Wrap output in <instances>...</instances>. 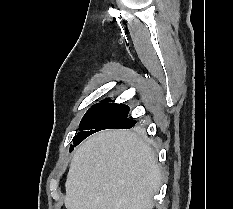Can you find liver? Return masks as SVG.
Listing matches in <instances>:
<instances>
[{"label":"liver","mask_w":233,"mask_h":209,"mask_svg":"<svg viewBox=\"0 0 233 209\" xmlns=\"http://www.w3.org/2000/svg\"><path fill=\"white\" fill-rule=\"evenodd\" d=\"M160 184L159 165L143 138L105 130L74 153L64 204L67 209H153Z\"/></svg>","instance_id":"1"}]
</instances>
